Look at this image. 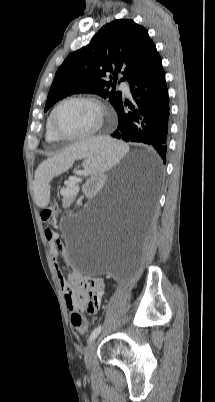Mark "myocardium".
Returning <instances> with one entry per match:
<instances>
[{
  "label": "myocardium",
  "mask_w": 215,
  "mask_h": 402,
  "mask_svg": "<svg viewBox=\"0 0 215 402\" xmlns=\"http://www.w3.org/2000/svg\"><path fill=\"white\" fill-rule=\"evenodd\" d=\"M70 101L89 102L97 107V109L99 111V120H98L97 125L92 130H90L86 133L80 134V135H66L58 130V128L56 127V124H55L56 113L62 105H64L67 102H70ZM108 114H109V112H108L106 105L100 99H98L94 96H90V95H72V96L63 98L53 107V109L50 113V127H51L53 134L60 140H64V141L87 140V139H91V138L97 136L101 132V130L104 126V123L108 117Z\"/></svg>",
  "instance_id": "myocardium-1"
}]
</instances>
